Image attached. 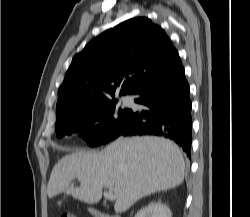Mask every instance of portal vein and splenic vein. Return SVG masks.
<instances>
[{
    "label": "portal vein and splenic vein",
    "mask_w": 250,
    "mask_h": 217,
    "mask_svg": "<svg viewBox=\"0 0 250 217\" xmlns=\"http://www.w3.org/2000/svg\"><path fill=\"white\" fill-rule=\"evenodd\" d=\"M103 195H104V198H106L107 200H111V201L116 198L112 190L105 191Z\"/></svg>",
    "instance_id": "obj_1"
}]
</instances>
